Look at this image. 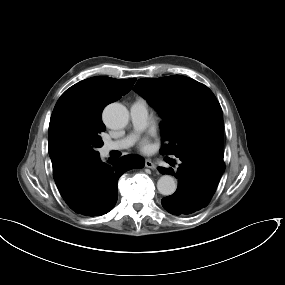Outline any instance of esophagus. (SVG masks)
<instances>
[{"label": "esophagus", "instance_id": "1", "mask_svg": "<svg viewBox=\"0 0 285 285\" xmlns=\"http://www.w3.org/2000/svg\"><path fill=\"white\" fill-rule=\"evenodd\" d=\"M145 166L150 169H156V165L149 159H146Z\"/></svg>", "mask_w": 285, "mask_h": 285}]
</instances>
